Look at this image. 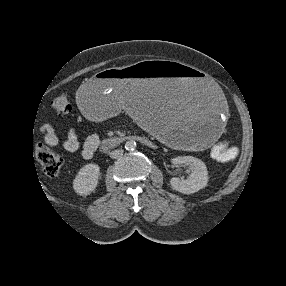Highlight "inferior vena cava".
<instances>
[{"label": "inferior vena cava", "instance_id": "obj_1", "mask_svg": "<svg viewBox=\"0 0 286 286\" xmlns=\"http://www.w3.org/2000/svg\"><path fill=\"white\" fill-rule=\"evenodd\" d=\"M122 155H123V150L117 149L110 152V157L113 159L119 158Z\"/></svg>", "mask_w": 286, "mask_h": 286}]
</instances>
